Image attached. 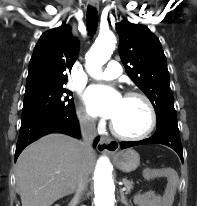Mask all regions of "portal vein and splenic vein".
I'll list each match as a JSON object with an SVG mask.
<instances>
[{"label": "portal vein and splenic vein", "instance_id": "obj_1", "mask_svg": "<svg viewBox=\"0 0 197 206\" xmlns=\"http://www.w3.org/2000/svg\"><path fill=\"white\" fill-rule=\"evenodd\" d=\"M126 189L125 188H122V191H125Z\"/></svg>", "mask_w": 197, "mask_h": 206}]
</instances>
